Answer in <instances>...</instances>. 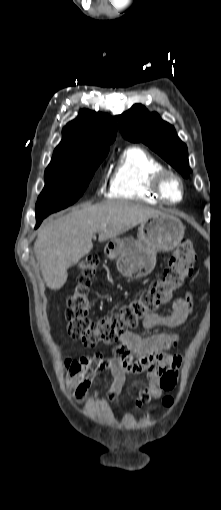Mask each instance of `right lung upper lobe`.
<instances>
[{
    "label": "right lung upper lobe",
    "instance_id": "obj_1",
    "mask_svg": "<svg viewBox=\"0 0 221 510\" xmlns=\"http://www.w3.org/2000/svg\"><path fill=\"white\" fill-rule=\"evenodd\" d=\"M116 121L109 115L83 109L62 131L63 139L55 148L51 161L109 150L115 140Z\"/></svg>",
    "mask_w": 221,
    "mask_h": 510
}]
</instances>
